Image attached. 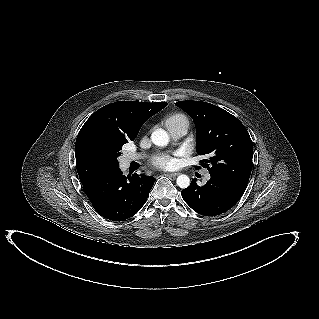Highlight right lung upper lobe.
<instances>
[{"label":"right lung upper lobe","instance_id":"cb5924a9","mask_svg":"<svg viewBox=\"0 0 319 319\" xmlns=\"http://www.w3.org/2000/svg\"><path fill=\"white\" fill-rule=\"evenodd\" d=\"M166 105L119 101L93 113L79 131L75 144L76 168L82 185L116 169L108 157L96 152L95 145L114 149L133 141L143 123Z\"/></svg>","mask_w":319,"mask_h":319}]
</instances>
